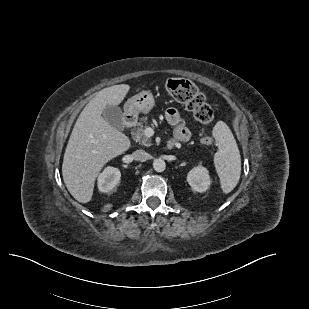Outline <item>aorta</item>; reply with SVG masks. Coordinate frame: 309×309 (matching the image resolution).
<instances>
[{
	"mask_svg": "<svg viewBox=\"0 0 309 309\" xmlns=\"http://www.w3.org/2000/svg\"><path fill=\"white\" fill-rule=\"evenodd\" d=\"M153 168L156 172H163L166 168V163L161 158L155 159L153 161Z\"/></svg>",
	"mask_w": 309,
	"mask_h": 309,
	"instance_id": "1",
	"label": "aorta"
}]
</instances>
